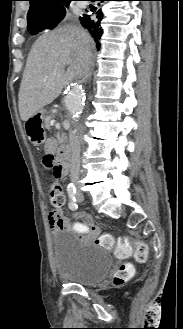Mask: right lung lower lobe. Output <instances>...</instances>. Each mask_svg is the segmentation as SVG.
Segmentation results:
<instances>
[{
  "mask_svg": "<svg viewBox=\"0 0 183 329\" xmlns=\"http://www.w3.org/2000/svg\"><path fill=\"white\" fill-rule=\"evenodd\" d=\"M95 1H105V0H95ZM90 11L95 12L96 8L91 7ZM102 19H103V13L101 9L95 12V17L92 14H84L82 17H80L81 24L89 30L93 39L95 40L97 49H99L100 47L99 41L103 34V29L101 27Z\"/></svg>",
  "mask_w": 183,
  "mask_h": 329,
  "instance_id": "1",
  "label": "right lung lower lobe"
}]
</instances>
